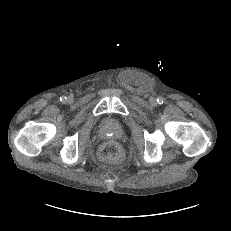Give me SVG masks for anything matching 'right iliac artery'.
Returning <instances> with one entry per match:
<instances>
[{
    "label": "right iliac artery",
    "mask_w": 231,
    "mask_h": 231,
    "mask_svg": "<svg viewBox=\"0 0 231 231\" xmlns=\"http://www.w3.org/2000/svg\"><path fill=\"white\" fill-rule=\"evenodd\" d=\"M66 99H67V98H66V96H62V97H60V101H61V102H65V101H66Z\"/></svg>",
    "instance_id": "1"
}]
</instances>
